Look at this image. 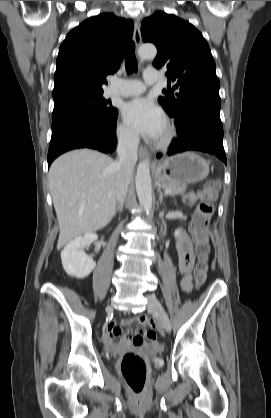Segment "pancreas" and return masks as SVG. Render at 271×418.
Masks as SVG:
<instances>
[{
  "mask_svg": "<svg viewBox=\"0 0 271 418\" xmlns=\"http://www.w3.org/2000/svg\"><path fill=\"white\" fill-rule=\"evenodd\" d=\"M161 187L165 190H171V192L169 193L170 196L182 194L187 190L186 184L164 183L161 185Z\"/></svg>",
  "mask_w": 271,
  "mask_h": 418,
  "instance_id": "1",
  "label": "pancreas"
}]
</instances>
